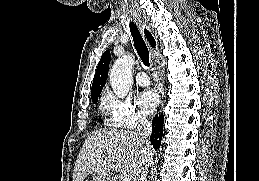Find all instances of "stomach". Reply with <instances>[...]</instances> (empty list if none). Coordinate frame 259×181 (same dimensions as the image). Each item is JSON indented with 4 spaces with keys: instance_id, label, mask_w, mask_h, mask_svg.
<instances>
[{
    "instance_id": "obj_1",
    "label": "stomach",
    "mask_w": 259,
    "mask_h": 181,
    "mask_svg": "<svg viewBox=\"0 0 259 181\" xmlns=\"http://www.w3.org/2000/svg\"><path fill=\"white\" fill-rule=\"evenodd\" d=\"M92 181H110L108 176H105L100 173H93Z\"/></svg>"
}]
</instances>
